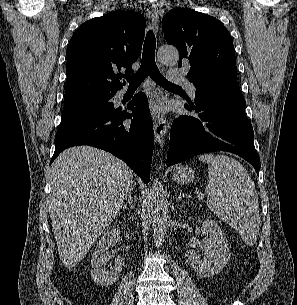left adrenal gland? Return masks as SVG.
<instances>
[{
    "mask_svg": "<svg viewBox=\"0 0 297 305\" xmlns=\"http://www.w3.org/2000/svg\"><path fill=\"white\" fill-rule=\"evenodd\" d=\"M185 196H187V194H183L182 190L180 189L179 190V195H178V198H177V202L179 203L182 200V198H184Z\"/></svg>",
    "mask_w": 297,
    "mask_h": 305,
    "instance_id": "1",
    "label": "left adrenal gland"
}]
</instances>
